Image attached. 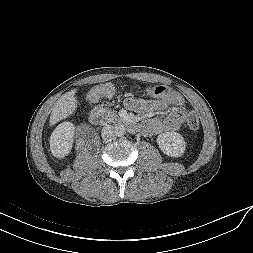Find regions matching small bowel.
<instances>
[{
    "label": "small bowel",
    "mask_w": 253,
    "mask_h": 253,
    "mask_svg": "<svg viewBox=\"0 0 253 253\" xmlns=\"http://www.w3.org/2000/svg\"><path fill=\"white\" fill-rule=\"evenodd\" d=\"M154 97L153 100L129 98L125 104L130 110L138 113L168 111V116L165 118H150L143 122L142 130L146 135L178 130L185 117L183 97L175 91Z\"/></svg>",
    "instance_id": "obj_1"
}]
</instances>
